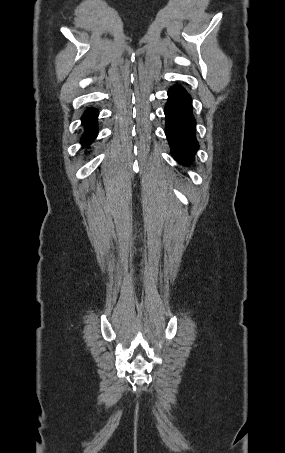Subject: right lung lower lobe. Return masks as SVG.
<instances>
[{"mask_svg": "<svg viewBox=\"0 0 285 453\" xmlns=\"http://www.w3.org/2000/svg\"><path fill=\"white\" fill-rule=\"evenodd\" d=\"M97 117L98 111L96 109H87L82 116V123L85 127V131L81 138V143L84 147H88L97 137Z\"/></svg>", "mask_w": 285, "mask_h": 453, "instance_id": "1", "label": "right lung lower lobe"}]
</instances>
